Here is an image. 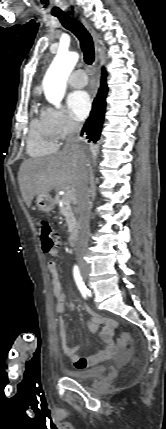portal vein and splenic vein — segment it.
<instances>
[{
  "mask_svg": "<svg viewBox=\"0 0 166 429\" xmlns=\"http://www.w3.org/2000/svg\"><path fill=\"white\" fill-rule=\"evenodd\" d=\"M66 198H68V199H73V197H74V195H73V192H72V190H70V189H66L65 190V195H64Z\"/></svg>",
  "mask_w": 166,
  "mask_h": 429,
  "instance_id": "1",
  "label": "portal vein and splenic vein"
}]
</instances>
